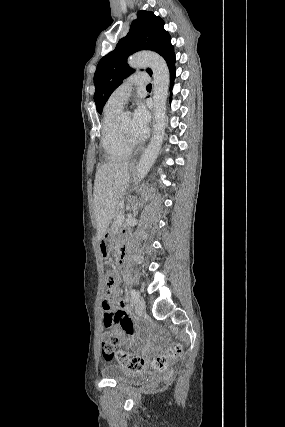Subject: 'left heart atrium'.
<instances>
[{
  "instance_id": "obj_1",
  "label": "left heart atrium",
  "mask_w": 285,
  "mask_h": 427,
  "mask_svg": "<svg viewBox=\"0 0 285 427\" xmlns=\"http://www.w3.org/2000/svg\"><path fill=\"white\" fill-rule=\"evenodd\" d=\"M150 114L142 103L136 107L133 116V134L136 139H143L149 130Z\"/></svg>"
}]
</instances>
